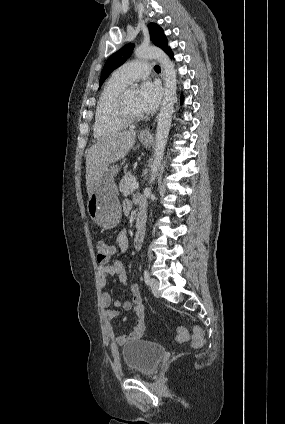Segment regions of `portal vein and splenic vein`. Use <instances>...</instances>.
Instances as JSON below:
<instances>
[{"instance_id":"18ae733b","label":"portal vein and splenic vein","mask_w":285,"mask_h":424,"mask_svg":"<svg viewBox=\"0 0 285 424\" xmlns=\"http://www.w3.org/2000/svg\"><path fill=\"white\" fill-rule=\"evenodd\" d=\"M138 187H139V183L138 182L133 183L132 186H131V188L133 190L137 189Z\"/></svg>"}]
</instances>
